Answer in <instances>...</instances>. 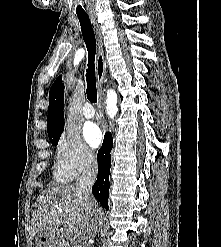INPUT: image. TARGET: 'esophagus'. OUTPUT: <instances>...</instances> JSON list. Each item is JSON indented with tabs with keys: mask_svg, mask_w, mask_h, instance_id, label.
<instances>
[{
	"mask_svg": "<svg viewBox=\"0 0 221 247\" xmlns=\"http://www.w3.org/2000/svg\"><path fill=\"white\" fill-rule=\"evenodd\" d=\"M91 22L96 31L97 38H98V44H99V52H98L97 61H96V78H97V88H98L97 109L100 112L101 111L102 85H103V80L105 76V62H104V56H103L102 37H101L100 29L98 27L96 20L93 17H91Z\"/></svg>",
	"mask_w": 221,
	"mask_h": 247,
	"instance_id": "esophagus-1",
	"label": "esophagus"
}]
</instances>
